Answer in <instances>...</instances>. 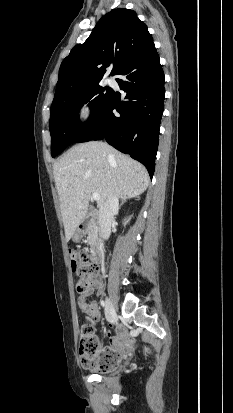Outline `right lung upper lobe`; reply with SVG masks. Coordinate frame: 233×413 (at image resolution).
<instances>
[{
  "label": "right lung upper lobe",
  "instance_id": "1",
  "mask_svg": "<svg viewBox=\"0 0 233 413\" xmlns=\"http://www.w3.org/2000/svg\"><path fill=\"white\" fill-rule=\"evenodd\" d=\"M152 43L147 26L135 11L118 8L104 15L88 39L76 45L59 70L53 103L99 83L111 67L115 75L121 65Z\"/></svg>",
  "mask_w": 233,
  "mask_h": 413
}]
</instances>
